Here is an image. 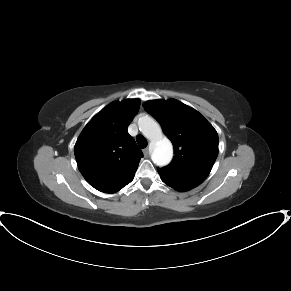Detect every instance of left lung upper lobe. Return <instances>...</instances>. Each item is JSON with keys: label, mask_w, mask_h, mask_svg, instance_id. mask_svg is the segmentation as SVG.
<instances>
[{"label": "left lung upper lobe", "mask_w": 291, "mask_h": 291, "mask_svg": "<svg viewBox=\"0 0 291 291\" xmlns=\"http://www.w3.org/2000/svg\"><path fill=\"white\" fill-rule=\"evenodd\" d=\"M145 110L162 126L174 147L172 162L158 169L164 179L201 184L209 175L218 155V134L195 109L175 100H154Z\"/></svg>", "instance_id": "1"}]
</instances>
